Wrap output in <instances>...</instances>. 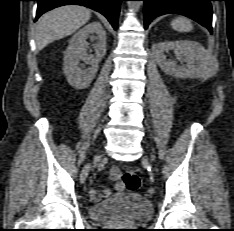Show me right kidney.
Wrapping results in <instances>:
<instances>
[{"label": "right kidney", "instance_id": "ca27d5eb", "mask_svg": "<svg viewBox=\"0 0 234 231\" xmlns=\"http://www.w3.org/2000/svg\"><path fill=\"white\" fill-rule=\"evenodd\" d=\"M91 34H96L98 42L94 44L95 54H86ZM106 53V33L98 21H94L80 29L69 41L64 52L63 72L69 84L76 89H85L93 81L98 65ZM80 61L89 64V68L80 65Z\"/></svg>", "mask_w": 234, "mask_h": 231}]
</instances>
